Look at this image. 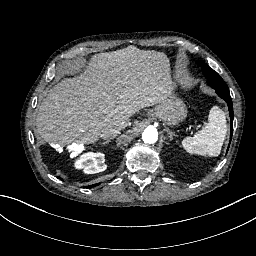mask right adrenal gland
<instances>
[{"mask_svg": "<svg viewBox=\"0 0 256 256\" xmlns=\"http://www.w3.org/2000/svg\"><path fill=\"white\" fill-rule=\"evenodd\" d=\"M110 141H111V140L108 139V140H106V141H104V142H99V144L105 145V144H108Z\"/></svg>", "mask_w": 256, "mask_h": 256, "instance_id": "obj_1", "label": "right adrenal gland"}]
</instances>
